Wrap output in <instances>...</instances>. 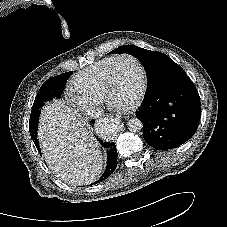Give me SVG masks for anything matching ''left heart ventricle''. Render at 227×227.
<instances>
[{"instance_id": "1", "label": "left heart ventricle", "mask_w": 227, "mask_h": 227, "mask_svg": "<svg viewBox=\"0 0 227 227\" xmlns=\"http://www.w3.org/2000/svg\"><path fill=\"white\" fill-rule=\"evenodd\" d=\"M141 87V74L138 66L130 59H123L116 67L112 100L119 106L130 104Z\"/></svg>"}]
</instances>
